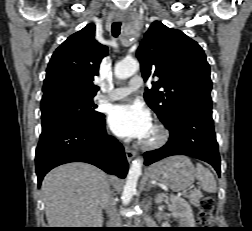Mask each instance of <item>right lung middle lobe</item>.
<instances>
[{"label": "right lung middle lobe", "mask_w": 252, "mask_h": 231, "mask_svg": "<svg viewBox=\"0 0 252 231\" xmlns=\"http://www.w3.org/2000/svg\"><path fill=\"white\" fill-rule=\"evenodd\" d=\"M95 108L93 97L90 96L66 93L42 99V129L64 121L95 123L103 117Z\"/></svg>", "instance_id": "right-lung-middle-lobe-1"}]
</instances>
